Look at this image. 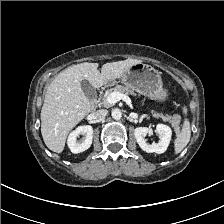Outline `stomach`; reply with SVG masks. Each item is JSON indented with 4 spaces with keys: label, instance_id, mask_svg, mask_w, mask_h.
<instances>
[{
    "label": "stomach",
    "instance_id": "obj_1",
    "mask_svg": "<svg viewBox=\"0 0 224 224\" xmlns=\"http://www.w3.org/2000/svg\"><path fill=\"white\" fill-rule=\"evenodd\" d=\"M121 82L139 94L161 102L167 99L168 92L163 87L161 74L150 65L144 63L132 65L121 76ZM112 83L114 81H108L106 84L111 85Z\"/></svg>",
    "mask_w": 224,
    "mask_h": 224
}]
</instances>
